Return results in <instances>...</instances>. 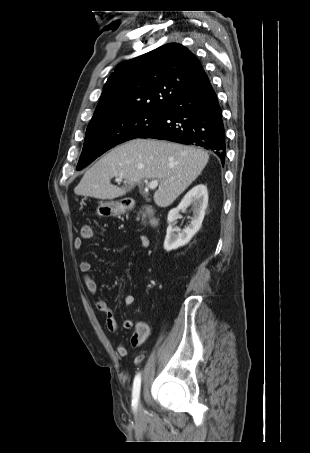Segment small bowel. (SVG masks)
I'll list each match as a JSON object with an SVG mask.
<instances>
[{
  "instance_id": "1",
  "label": "small bowel",
  "mask_w": 310,
  "mask_h": 453,
  "mask_svg": "<svg viewBox=\"0 0 310 453\" xmlns=\"http://www.w3.org/2000/svg\"><path fill=\"white\" fill-rule=\"evenodd\" d=\"M85 237L83 236H78L74 239V247L76 249L82 248ZM141 244L144 248H147L149 245V240L145 235H142L140 237ZM80 271L84 274V284L86 289L88 290L89 293L95 295L98 291V285L96 281L93 279V277L90 275V271L92 269V264L88 260H83L80 262L79 265ZM123 303L126 306H131L134 303V296L131 294H126L123 297ZM95 306L99 312L104 314V320H105V325L106 328L111 332V333H116L118 331V323L115 318V315L108 305V303L103 300V299H98L95 302ZM122 326L125 329H134V333L131 336V344L133 347H139L144 343V341L148 338L149 333H150V328L149 325L143 321H137L133 322L130 319H125L122 321ZM117 354L121 357H125L128 354L127 347L125 344L120 343L118 344L116 348Z\"/></svg>"
}]
</instances>
